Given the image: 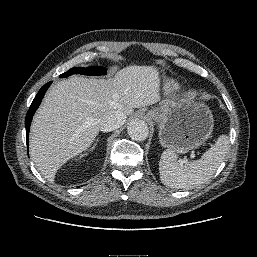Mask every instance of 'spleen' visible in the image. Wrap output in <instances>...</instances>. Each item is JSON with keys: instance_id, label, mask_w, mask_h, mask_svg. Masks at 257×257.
<instances>
[{"instance_id": "obj_1", "label": "spleen", "mask_w": 257, "mask_h": 257, "mask_svg": "<svg viewBox=\"0 0 257 257\" xmlns=\"http://www.w3.org/2000/svg\"><path fill=\"white\" fill-rule=\"evenodd\" d=\"M229 149V137L221 135L200 159L183 165L174 151H163L159 162L161 182L173 188H193L208 181L222 163Z\"/></svg>"}]
</instances>
